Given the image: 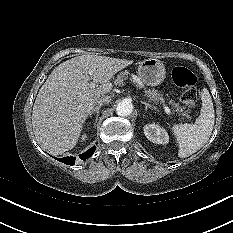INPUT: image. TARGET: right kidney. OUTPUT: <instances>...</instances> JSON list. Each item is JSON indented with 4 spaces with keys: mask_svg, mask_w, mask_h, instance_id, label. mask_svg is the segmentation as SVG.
I'll return each instance as SVG.
<instances>
[{
    "mask_svg": "<svg viewBox=\"0 0 233 233\" xmlns=\"http://www.w3.org/2000/svg\"><path fill=\"white\" fill-rule=\"evenodd\" d=\"M86 138H87V135H86V133H85V134L82 135V138H81V139L84 141Z\"/></svg>",
    "mask_w": 233,
    "mask_h": 233,
    "instance_id": "obj_1",
    "label": "right kidney"
}]
</instances>
